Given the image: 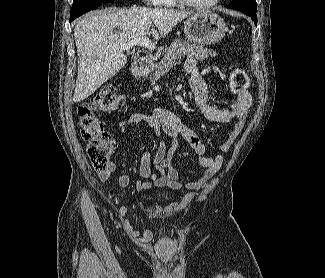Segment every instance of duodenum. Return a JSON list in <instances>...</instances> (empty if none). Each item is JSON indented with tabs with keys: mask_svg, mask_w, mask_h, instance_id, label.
<instances>
[{
	"mask_svg": "<svg viewBox=\"0 0 325 278\" xmlns=\"http://www.w3.org/2000/svg\"><path fill=\"white\" fill-rule=\"evenodd\" d=\"M152 63L148 58H139L133 67V73L137 77H141L151 67Z\"/></svg>",
	"mask_w": 325,
	"mask_h": 278,
	"instance_id": "410a0bca",
	"label": "duodenum"
}]
</instances>
